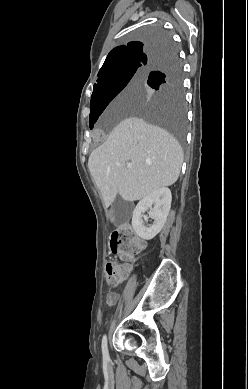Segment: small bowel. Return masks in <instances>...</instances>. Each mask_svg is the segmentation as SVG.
I'll return each mask as SVG.
<instances>
[{"label":"small bowel","mask_w":248,"mask_h":389,"mask_svg":"<svg viewBox=\"0 0 248 389\" xmlns=\"http://www.w3.org/2000/svg\"><path fill=\"white\" fill-rule=\"evenodd\" d=\"M119 296L115 292H109L106 297V303L108 306H113L117 303Z\"/></svg>","instance_id":"small-bowel-1"}]
</instances>
